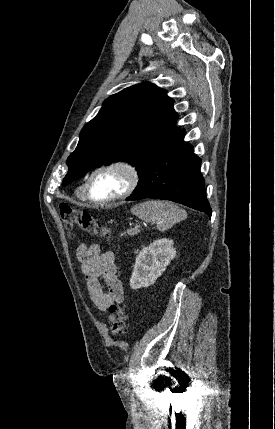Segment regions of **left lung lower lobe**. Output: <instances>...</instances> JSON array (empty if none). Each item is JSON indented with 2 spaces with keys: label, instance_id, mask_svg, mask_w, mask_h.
<instances>
[{
  "label": "left lung lower lobe",
  "instance_id": "1",
  "mask_svg": "<svg viewBox=\"0 0 275 429\" xmlns=\"http://www.w3.org/2000/svg\"><path fill=\"white\" fill-rule=\"evenodd\" d=\"M185 131L176 135L151 159L137 187L126 200L165 199L206 213L212 211L207 201L201 160L184 141Z\"/></svg>",
  "mask_w": 275,
  "mask_h": 429
}]
</instances>
